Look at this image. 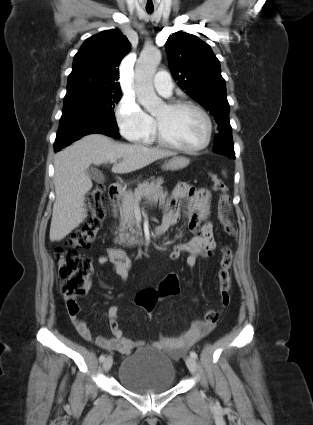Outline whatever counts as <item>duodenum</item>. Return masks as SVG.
I'll list each match as a JSON object with an SVG mask.
<instances>
[{
  "label": "duodenum",
  "instance_id": "obj_1",
  "mask_svg": "<svg viewBox=\"0 0 313 425\" xmlns=\"http://www.w3.org/2000/svg\"><path fill=\"white\" fill-rule=\"evenodd\" d=\"M120 192V187L117 183H112L109 185L108 187V193H109V197L111 199L112 202H115L118 198ZM164 230L162 229V227H158L155 230V234L159 235L163 232ZM145 241L144 238H141V243H143Z\"/></svg>",
  "mask_w": 313,
  "mask_h": 425
}]
</instances>
